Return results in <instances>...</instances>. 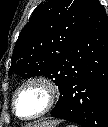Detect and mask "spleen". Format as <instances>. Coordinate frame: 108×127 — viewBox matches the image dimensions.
I'll return each instance as SVG.
<instances>
[{"label":"spleen","mask_w":108,"mask_h":127,"mask_svg":"<svg viewBox=\"0 0 108 127\" xmlns=\"http://www.w3.org/2000/svg\"><path fill=\"white\" fill-rule=\"evenodd\" d=\"M68 127H76L75 125H68Z\"/></svg>","instance_id":"3e777b00"}]
</instances>
